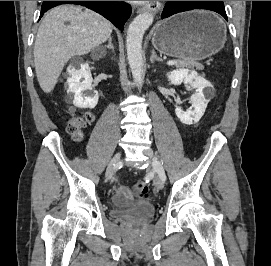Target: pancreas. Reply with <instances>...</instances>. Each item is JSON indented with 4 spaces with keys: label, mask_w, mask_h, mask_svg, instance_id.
I'll return each instance as SVG.
<instances>
[{
    "label": "pancreas",
    "mask_w": 271,
    "mask_h": 266,
    "mask_svg": "<svg viewBox=\"0 0 271 266\" xmlns=\"http://www.w3.org/2000/svg\"><path fill=\"white\" fill-rule=\"evenodd\" d=\"M177 67H190V68H196V70H203V65L193 62V61H182L178 60L177 64H175Z\"/></svg>",
    "instance_id": "1"
}]
</instances>
